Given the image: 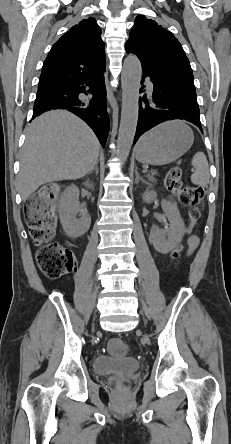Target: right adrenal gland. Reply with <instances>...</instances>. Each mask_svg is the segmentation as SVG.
<instances>
[{
    "mask_svg": "<svg viewBox=\"0 0 231 444\" xmlns=\"http://www.w3.org/2000/svg\"><path fill=\"white\" fill-rule=\"evenodd\" d=\"M93 171H95L96 174L99 173L98 162L96 163L95 167L90 171V173H93Z\"/></svg>",
    "mask_w": 231,
    "mask_h": 444,
    "instance_id": "right-adrenal-gland-1",
    "label": "right adrenal gland"
}]
</instances>
